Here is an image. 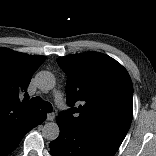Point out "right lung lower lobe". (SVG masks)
Segmentation results:
<instances>
[{"instance_id": "98d812e1", "label": "right lung lower lobe", "mask_w": 156, "mask_h": 156, "mask_svg": "<svg viewBox=\"0 0 156 156\" xmlns=\"http://www.w3.org/2000/svg\"><path fill=\"white\" fill-rule=\"evenodd\" d=\"M46 113L39 110L29 121L11 122L0 128V156L12 152L20 143L23 136L32 128L41 124Z\"/></svg>"}]
</instances>
